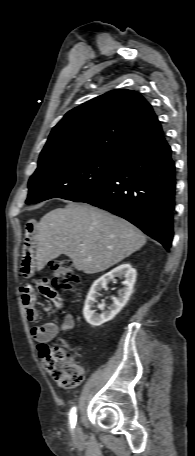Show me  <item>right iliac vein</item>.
Masks as SVG:
<instances>
[{
  "label": "right iliac vein",
  "instance_id": "right-iliac-vein-1",
  "mask_svg": "<svg viewBox=\"0 0 195 456\" xmlns=\"http://www.w3.org/2000/svg\"><path fill=\"white\" fill-rule=\"evenodd\" d=\"M74 439L79 440L81 438V430L78 426L74 428Z\"/></svg>",
  "mask_w": 195,
  "mask_h": 456
}]
</instances>
